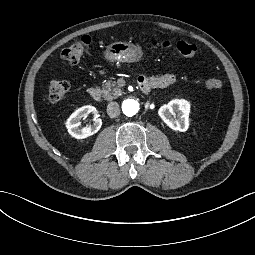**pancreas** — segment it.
<instances>
[{"instance_id": "obj_1", "label": "pancreas", "mask_w": 255, "mask_h": 255, "mask_svg": "<svg viewBox=\"0 0 255 255\" xmlns=\"http://www.w3.org/2000/svg\"><path fill=\"white\" fill-rule=\"evenodd\" d=\"M101 93L105 100L111 101L118 98L122 94V90L115 81L109 80L102 85Z\"/></svg>"}]
</instances>
